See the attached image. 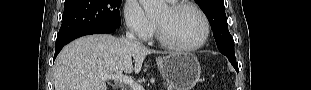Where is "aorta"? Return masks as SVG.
I'll return each instance as SVG.
<instances>
[{"mask_svg":"<svg viewBox=\"0 0 311 90\" xmlns=\"http://www.w3.org/2000/svg\"><path fill=\"white\" fill-rule=\"evenodd\" d=\"M140 3L148 17L158 15L166 6L164 0H140Z\"/></svg>","mask_w":311,"mask_h":90,"instance_id":"aorta-1","label":"aorta"}]
</instances>
